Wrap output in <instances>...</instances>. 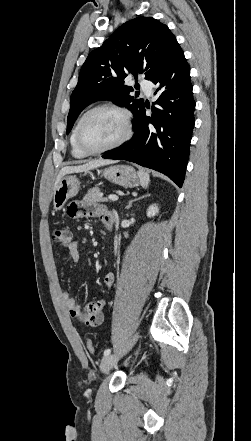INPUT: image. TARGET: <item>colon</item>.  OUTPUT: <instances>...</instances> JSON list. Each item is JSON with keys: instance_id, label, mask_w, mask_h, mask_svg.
I'll use <instances>...</instances> for the list:
<instances>
[{"instance_id": "1", "label": "colon", "mask_w": 251, "mask_h": 441, "mask_svg": "<svg viewBox=\"0 0 251 441\" xmlns=\"http://www.w3.org/2000/svg\"><path fill=\"white\" fill-rule=\"evenodd\" d=\"M52 240L62 246H68L72 242V234L67 227H56L52 232ZM85 346L89 352H94V344L92 340L87 339Z\"/></svg>"}]
</instances>
